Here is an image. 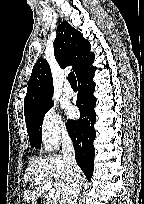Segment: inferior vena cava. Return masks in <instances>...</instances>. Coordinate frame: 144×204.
<instances>
[{
	"mask_svg": "<svg viewBox=\"0 0 144 204\" xmlns=\"http://www.w3.org/2000/svg\"><path fill=\"white\" fill-rule=\"evenodd\" d=\"M62 153L68 176V189L61 200V204H76L81 191L82 173L75 159V150L69 135L62 138Z\"/></svg>",
	"mask_w": 144,
	"mask_h": 204,
	"instance_id": "inferior-vena-cava-1",
	"label": "inferior vena cava"
}]
</instances>
